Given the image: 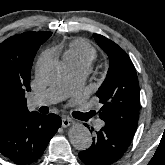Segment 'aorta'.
Segmentation results:
<instances>
[{
	"mask_svg": "<svg viewBox=\"0 0 165 165\" xmlns=\"http://www.w3.org/2000/svg\"><path fill=\"white\" fill-rule=\"evenodd\" d=\"M40 76L48 83H57L63 76V67L59 61L47 60L39 69ZM70 143L78 150H85L92 144V136L87 127L83 124L75 123L68 131Z\"/></svg>",
	"mask_w": 165,
	"mask_h": 165,
	"instance_id": "obj_1",
	"label": "aorta"
}]
</instances>
